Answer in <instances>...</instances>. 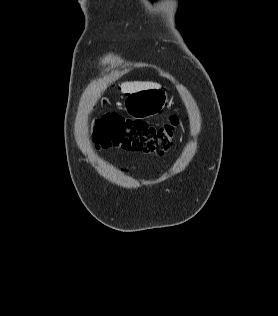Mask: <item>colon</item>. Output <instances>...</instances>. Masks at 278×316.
I'll return each instance as SVG.
<instances>
[{"label":"colon","mask_w":278,"mask_h":316,"mask_svg":"<svg viewBox=\"0 0 278 316\" xmlns=\"http://www.w3.org/2000/svg\"><path fill=\"white\" fill-rule=\"evenodd\" d=\"M179 122L175 114L168 124L154 127L108 113L97 121L93 139L99 149L122 148L161 156L170 150Z\"/></svg>","instance_id":"1"}]
</instances>
